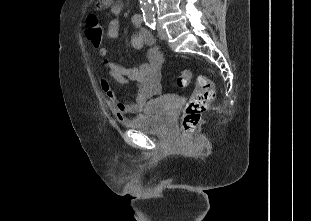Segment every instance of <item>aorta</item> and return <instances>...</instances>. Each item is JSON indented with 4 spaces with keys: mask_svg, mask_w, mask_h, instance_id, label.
<instances>
[{
    "mask_svg": "<svg viewBox=\"0 0 311 221\" xmlns=\"http://www.w3.org/2000/svg\"><path fill=\"white\" fill-rule=\"evenodd\" d=\"M140 6L142 8L144 20H153L154 8L151 0H140Z\"/></svg>",
    "mask_w": 311,
    "mask_h": 221,
    "instance_id": "762f6f07",
    "label": "aorta"
}]
</instances>
